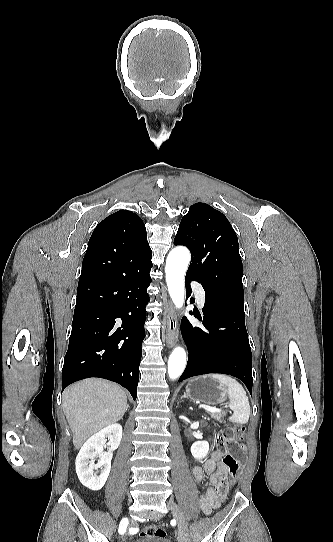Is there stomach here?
Wrapping results in <instances>:
<instances>
[{"label": "stomach", "instance_id": "obj_1", "mask_svg": "<svg viewBox=\"0 0 333 542\" xmlns=\"http://www.w3.org/2000/svg\"><path fill=\"white\" fill-rule=\"evenodd\" d=\"M185 390L188 398L194 402H203V404H210V406H218L228 400L225 388L209 376L192 378Z\"/></svg>", "mask_w": 333, "mask_h": 542}]
</instances>
